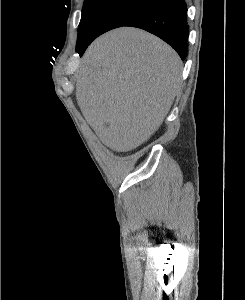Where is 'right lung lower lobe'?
<instances>
[{"label":"right lung lower lobe","mask_w":245,"mask_h":300,"mask_svg":"<svg viewBox=\"0 0 245 300\" xmlns=\"http://www.w3.org/2000/svg\"><path fill=\"white\" fill-rule=\"evenodd\" d=\"M125 26L144 29L171 45L181 59L186 58L188 41L187 5L184 0H163ZM87 46H78L82 55Z\"/></svg>","instance_id":"right-lung-lower-lobe-1"}]
</instances>
